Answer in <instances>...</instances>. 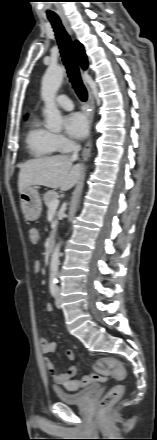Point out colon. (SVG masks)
I'll return each mask as SVG.
<instances>
[{
	"label": "colon",
	"mask_w": 157,
	"mask_h": 440,
	"mask_svg": "<svg viewBox=\"0 0 157 440\" xmlns=\"http://www.w3.org/2000/svg\"><path fill=\"white\" fill-rule=\"evenodd\" d=\"M31 244L39 243L40 234L36 228H31L28 233ZM95 374H88L78 380H68L64 386L70 391L79 390L93 382L103 381L107 376L113 374L119 381L126 378V369L123 364L115 358H103L95 364ZM125 386L122 383L114 385L102 398L101 407L108 408L115 404L123 395Z\"/></svg>",
	"instance_id": "colon-1"
}]
</instances>
